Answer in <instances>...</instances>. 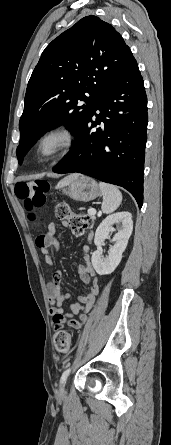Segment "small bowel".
<instances>
[{"instance_id": "small-bowel-1", "label": "small bowel", "mask_w": 171, "mask_h": 445, "mask_svg": "<svg viewBox=\"0 0 171 445\" xmlns=\"http://www.w3.org/2000/svg\"><path fill=\"white\" fill-rule=\"evenodd\" d=\"M57 232V226L55 223H50L45 233L40 234L36 238V245L44 255V263L46 266H52L54 264V258L50 254V249L59 251L60 243L55 238ZM84 264L77 266V274L81 281L87 286V291L78 297V301L70 305V312L64 313L63 304L70 299L69 293L62 292V275L60 272H56L51 281L47 284V297L51 304L49 313L52 319V323L55 328L62 326L67 322L70 329H80L82 322L71 320L74 316H80L81 320H84V312L89 310L95 301L96 295L99 290V282L96 272L90 261L89 248L86 245L84 247ZM57 317H62L64 323L58 324L55 320Z\"/></svg>"}]
</instances>
